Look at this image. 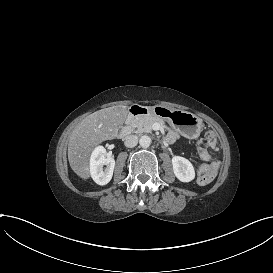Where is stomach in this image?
Listing matches in <instances>:
<instances>
[{"mask_svg":"<svg viewBox=\"0 0 273 273\" xmlns=\"http://www.w3.org/2000/svg\"><path fill=\"white\" fill-rule=\"evenodd\" d=\"M149 115L165 120L174 130L188 139H196L203 128L202 119L195 114L161 105L146 107Z\"/></svg>","mask_w":273,"mask_h":273,"instance_id":"obj_1","label":"stomach"}]
</instances>
